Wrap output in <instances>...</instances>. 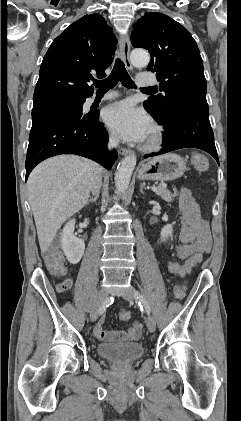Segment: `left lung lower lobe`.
<instances>
[{
    "label": "left lung lower lobe",
    "instance_id": "obj_1",
    "mask_svg": "<svg viewBox=\"0 0 241 421\" xmlns=\"http://www.w3.org/2000/svg\"><path fill=\"white\" fill-rule=\"evenodd\" d=\"M162 125L165 128L163 148L157 153L146 155L144 158L192 147L208 152L219 164L214 134L209 121L207 101L199 99L190 101L174 114L171 123Z\"/></svg>",
    "mask_w": 241,
    "mask_h": 421
}]
</instances>
